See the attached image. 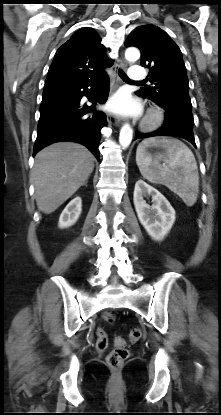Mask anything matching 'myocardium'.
Returning a JSON list of instances; mask_svg holds the SVG:
<instances>
[{"label":"myocardium","instance_id":"1","mask_svg":"<svg viewBox=\"0 0 221 415\" xmlns=\"http://www.w3.org/2000/svg\"><path fill=\"white\" fill-rule=\"evenodd\" d=\"M164 117L163 110L157 106H153L148 109L142 121V128L147 131L157 129L163 123Z\"/></svg>","mask_w":221,"mask_h":415}]
</instances>
